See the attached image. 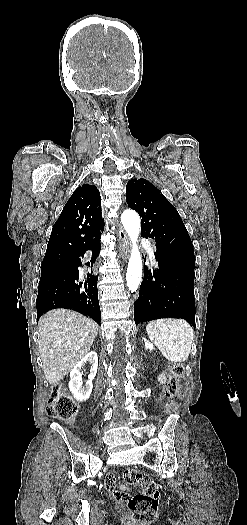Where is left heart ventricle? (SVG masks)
I'll list each match as a JSON object with an SVG mask.
<instances>
[{
  "mask_svg": "<svg viewBox=\"0 0 247 525\" xmlns=\"http://www.w3.org/2000/svg\"><path fill=\"white\" fill-rule=\"evenodd\" d=\"M138 265H139V264H131V267L134 268V269H137V268H138Z\"/></svg>",
  "mask_w": 247,
  "mask_h": 525,
  "instance_id": "1",
  "label": "left heart ventricle"
}]
</instances>
